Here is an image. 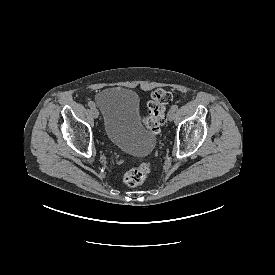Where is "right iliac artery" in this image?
Returning <instances> with one entry per match:
<instances>
[{
	"mask_svg": "<svg viewBox=\"0 0 275 275\" xmlns=\"http://www.w3.org/2000/svg\"><path fill=\"white\" fill-rule=\"evenodd\" d=\"M88 106H89L90 108H93V107H95V104H94V102L90 101V102H88Z\"/></svg>",
	"mask_w": 275,
	"mask_h": 275,
	"instance_id": "1",
	"label": "right iliac artery"
}]
</instances>
